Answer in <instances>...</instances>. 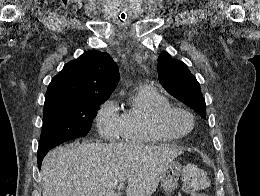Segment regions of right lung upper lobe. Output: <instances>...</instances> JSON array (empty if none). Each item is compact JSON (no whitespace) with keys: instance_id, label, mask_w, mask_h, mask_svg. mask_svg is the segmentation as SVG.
I'll return each mask as SVG.
<instances>
[{"instance_id":"1","label":"right lung upper lobe","mask_w":260,"mask_h":196,"mask_svg":"<svg viewBox=\"0 0 260 196\" xmlns=\"http://www.w3.org/2000/svg\"><path fill=\"white\" fill-rule=\"evenodd\" d=\"M119 81L118 66L109 54L89 51L68 62L51 81L44 106L107 99Z\"/></svg>"}]
</instances>
